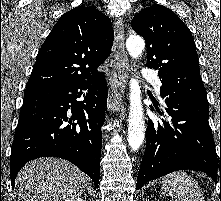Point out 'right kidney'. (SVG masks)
<instances>
[{
    "instance_id": "1",
    "label": "right kidney",
    "mask_w": 221,
    "mask_h": 201,
    "mask_svg": "<svg viewBox=\"0 0 221 201\" xmlns=\"http://www.w3.org/2000/svg\"><path fill=\"white\" fill-rule=\"evenodd\" d=\"M65 201H84L82 198H79V197H73V198H69Z\"/></svg>"
}]
</instances>
